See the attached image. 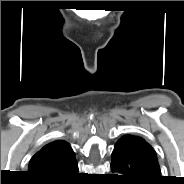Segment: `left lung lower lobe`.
<instances>
[{
    "label": "left lung lower lobe",
    "mask_w": 184,
    "mask_h": 184,
    "mask_svg": "<svg viewBox=\"0 0 184 184\" xmlns=\"http://www.w3.org/2000/svg\"><path fill=\"white\" fill-rule=\"evenodd\" d=\"M111 169L124 184H159L162 181L159 164L128 143L117 142L111 156Z\"/></svg>",
    "instance_id": "obj_1"
}]
</instances>
